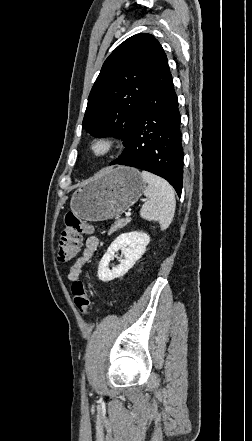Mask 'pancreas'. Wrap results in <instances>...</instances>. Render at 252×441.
<instances>
[{
    "instance_id": "obj_1",
    "label": "pancreas",
    "mask_w": 252,
    "mask_h": 441,
    "mask_svg": "<svg viewBox=\"0 0 252 441\" xmlns=\"http://www.w3.org/2000/svg\"><path fill=\"white\" fill-rule=\"evenodd\" d=\"M127 223H128V221H127L126 219H120V220H117V221L111 226V228L109 229L108 232H109L110 234L113 233V232H116V231H118L119 229L125 227V226L127 225Z\"/></svg>"
}]
</instances>
